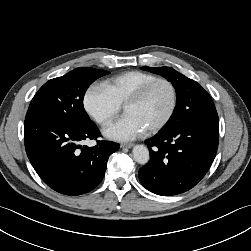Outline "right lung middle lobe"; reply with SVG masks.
Instances as JSON below:
<instances>
[{"instance_id": "right-lung-middle-lobe-1", "label": "right lung middle lobe", "mask_w": 251, "mask_h": 251, "mask_svg": "<svg viewBox=\"0 0 251 251\" xmlns=\"http://www.w3.org/2000/svg\"><path fill=\"white\" fill-rule=\"evenodd\" d=\"M108 71L76 68L46 82L33 97L27 114H41L76 128H89L94 122L87 115L83 98L88 87Z\"/></svg>"}]
</instances>
